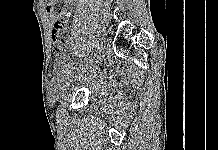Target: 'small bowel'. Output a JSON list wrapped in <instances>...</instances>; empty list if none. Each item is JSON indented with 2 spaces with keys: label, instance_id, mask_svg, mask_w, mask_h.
<instances>
[{
  "label": "small bowel",
  "instance_id": "obj_1",
  "mask_svg": "<svg viewBox=\"0 0 218 150\" xmlns=\"http://www.w3.org/2000/svg\"><path fill=\"white\" fill-rule=\"evenodd\" d=\"M74 1L75 0H64L63 7L57 12H54L57 0H45L46 11L50 15L53 31L57 29H66L67 21L71 15Z\"/></svg>",
  "mask_w": 218,
  "mask_h": 150
}]
</instances>
